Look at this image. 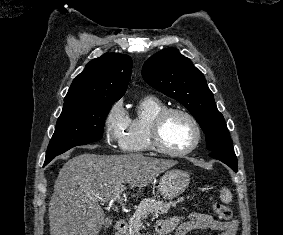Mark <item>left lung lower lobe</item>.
I'll return each instance as SVG.
<instances>
[{"instance_id":"left-lung-lower-lobe-1","label":"left lung lower lobe","mask_w":283,"mask_h":235,"mask_svg":"<svg viewBox=\"0 0 283 235\" xmlns=\"http://www.w3.org/2000/svg\"><path fill=\"white\" fill-rule=\"evenodd\" d=\"M209 156L214 157L226 165H228L234 171H237V157L234 151H216L209 154Z\"/></svg>"}]
</instances>
